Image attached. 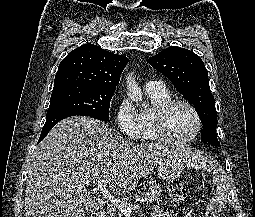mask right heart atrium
<instances>
[{"label": "right heart atrium", "instance_id": "right-heart-atrium-1", "mask_svg": "<svg viewBox=\"0 0 255 217\" xmlns=\"http://www.w3.org/2000/svg\"><path fill=\"white\" fill-rule=\"evenodd\" d=\"M115 122L121 134L130 139L140 135L139 113L129 98H122L115 109Z\"/></svg>", "mask_w": 255, "mask_h": 217}]
</instances>
